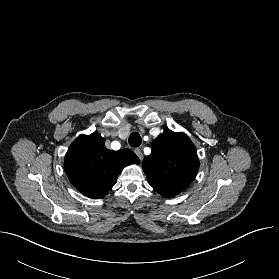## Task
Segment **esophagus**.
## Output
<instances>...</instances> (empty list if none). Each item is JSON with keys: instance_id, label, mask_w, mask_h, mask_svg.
I'll return each instance as SVG.
<instances>
[{"instance_id": "obj_1", "label": "esophagus", "mask_w": 279, "mask_h": 279, "mask_svg": "<svg viewBox=\"0 0 279 279\" xmlns=\"http://www.w3.org/2000/svg\"><path fill=\"white\" fill-rule=\"evenodd\" d=\"M134 151H135L136 155L138 156V158L142 161L143 157H144L143 153H142V150L139 149V148H136Z\"/></svg>"}]
</instances>
